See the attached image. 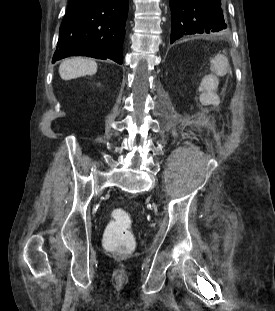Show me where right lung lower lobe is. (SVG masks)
<instances>
[{
	"mask_svg": "<svg viewBox=\"0 0 275 311\" xmlns=\"http://www.w3.org/2000/svg\"><path fill=\"white\" fill-rule=\"evenodd\" d=\"M129 0H72L59 31L52 62L83 55L123 63Z\"/></svg>",
	"mask_w": 275,
	"mask_h": 311,
	"instance_id": "obj_1",
	"label": "right lung lower lobe"
}]
</instances>
